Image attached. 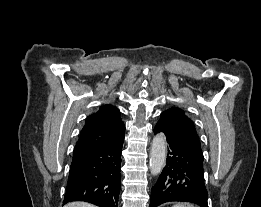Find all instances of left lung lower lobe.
Returning <instances> with one entry per match:
<instances>
[{
  "label": "left lung lower lobe",
  "mask_w": 261,
  "mask_h": 207,
  "mask_svg": "<svg viewBox=\"0 0 261 207\" xmlns=\"http://www.w3.org/2000/svg\"><path fill=\"white\" fill-rule=\"evenodd\" d=\"M162 133L168 142L166 166L151 189L150 207L170 201H184L208 207L204 183L203 160L189 151L162 123H157L154 134Z\"/></svg>",
  "instance_id": "0a47b994"
}]
</instances>
